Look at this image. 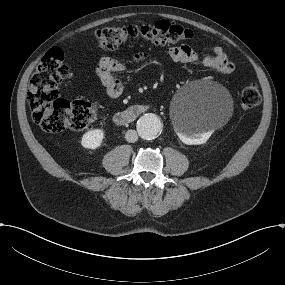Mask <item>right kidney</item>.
I'll return each mask as SVG.
<instances>
[{
	"mask_svg": "<svg viewBox=\"0 0 285 285\" xmlns=\"http://www.w3.org/2000/svg\"><path fill=\"white\" fill-rule=\"evenodd\" d=\"M105 138V132L102 128L90 129L81 137L80 145L89 150L99 148Z\"/></svg>",
	"mask_w": 285,
	"mask_h": 285,
	"instance_id": "obj_1",
	"label": "right kidney"
}]
</instances>
